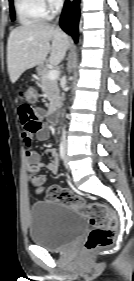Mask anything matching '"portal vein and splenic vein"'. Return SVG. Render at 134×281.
<instances>
[{"instance_id":"portal-vein-and-splenic-vein-1","label":"portal vein and splenic vein","mask_w":134,"mask_h":281,"mask_svg":"<svg viewBox=\"0 0 134 281\" xmlns=\"http://www.w3.org/2000/svg\"><path fill=\"white\" fill-rule=\"evenodd\" d=\"M58 77V71L55 69H52L48 73V78L51 80H55Z\"/></svg>"}]
</instances>
